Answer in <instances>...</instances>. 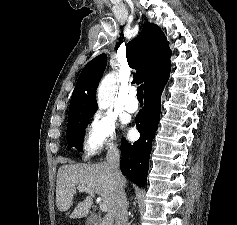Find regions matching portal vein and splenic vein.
<instances>
[{"mask_svg":"<svg viewBox=\"0 0 237 225\" xmlns=\"http://www.w3.org/2000/svg\"><path fill=\"white\" fill-rule=\"evenodd\" d=\"M77 189L81 192H86L90 194L91 196H94V192L88 187V186H78ZM99 203V208L101 211L106 212L107 211V206L105 203L100 202V200H97Z\"/></svg>","mask_w":237,"mask_h":225,"instance_id":"18ae733b","label":"portal vein and splenic vein"}]
</instances>
